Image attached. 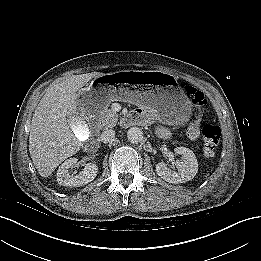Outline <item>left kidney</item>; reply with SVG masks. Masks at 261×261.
Instances as JSON below:
<instances>
[{
    "label": "left kidney",
    "instance_id": "left-kidney-1",
    "mask_svg": "<svg viewBox=\"0 0 261 261\" xmlns=\"http://www.w3.org/2000/svg\"><path fill=\"white\" fill-rule=\"evenodd\" d=\"M174 152L182 156V160H177L175 163L178 172L168 167L165 162H160L155 167L156 173L169 183L178 184L190 181L198 171V162L195 154L186 147H176Z\"/></svg>",
    "mask_w": 261,
    "mask_h": 261
}]
</instances>
